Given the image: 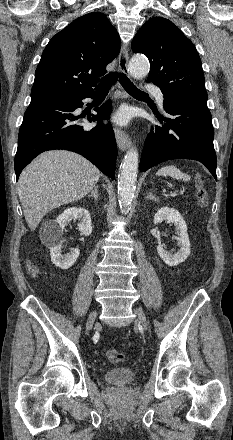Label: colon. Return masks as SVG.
<instances>
[{
	"mask_svg": "<svg viewBox=\"0 0 233 440\" xmlns=\"http://www.w3.org/2000/svg\"><path fill=\"white\" fill-rule=\"evenodd\" d=\"M196 199H197L198 206L200 208L205 209L208 207V204H209L208 192H207V189L205 188V186L200 178L196 180ZM27 268H28V271L30 272L31 275H33V276L37 275L38 270L34 264H32L31 262H28ZM106 357L112 363H119L124 360L123 353H121L115 349H108L106 351Z\"/></svg>",
	"mask_w": 233,
	"mask_h": 440,
	"instance_id": "colon-1",
	"label": "colon"
}]
</instances>
